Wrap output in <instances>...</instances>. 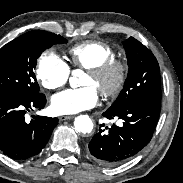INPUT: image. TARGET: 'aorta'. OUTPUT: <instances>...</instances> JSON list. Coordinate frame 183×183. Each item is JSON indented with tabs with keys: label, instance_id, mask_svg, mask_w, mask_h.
I'll return each instance as SVG.
<instances>
[{
	"label": "aorta",
	"instance_id": "1",
	"mask_svg": "<svg viewBox=\"0 0 183 183\" xmlns=\"http://www.w3.org/2000/svg\"><path fill=\"white\" fill-rule=\"evenodd\" d=\"M82 74V71L77 69L72 71V77L69 79L70 86L72 88L79 87V77ZM93 122L91 118L88 115H79L74 120V129L76 132L82 133V134H89L93 130Z\"/></svg>",
	"mask_w": 183,
	"mask_h": 183
}]
</instances>
